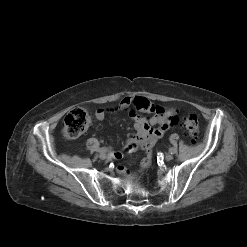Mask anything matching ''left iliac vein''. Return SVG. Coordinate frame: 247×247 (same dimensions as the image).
I'll use <instances>...</instances> for the list:
<instances>
[{"label":"left iliac vein","mask_w":247,"mask_h":247,"mask_svg":"<svg viewBox=\"0 0 247 247\" xmlns=\"http://www.w3.org/2000/svg\"><path fill=\"white\" fill-rule=\"evenodd\" d=\"M173 159V155L172 154H166V156H165V160L166 161H171Z\"/></svg>","instance_id":"left-iliac-vein-1"}]
</instances>
